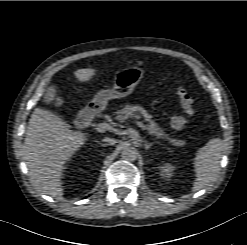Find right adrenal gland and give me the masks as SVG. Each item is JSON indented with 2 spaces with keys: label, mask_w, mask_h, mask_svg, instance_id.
<instances>
[{
  "label": "right adrenal gland",
  "mask_w": 247,
  "mask_h": 245,
  "mask_svg": "<svg viewBox=\"0 0 247 245\" xmlns=\"http://www.w3.org/2000/svg\"><path fill=\"white\" fill-rule=\"evenodd\" d=\"M101 146L106 147L107 145L105 143H100Z\"/></svg>",
  "instance_id": "obj_1"
}]
</instances>
